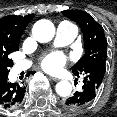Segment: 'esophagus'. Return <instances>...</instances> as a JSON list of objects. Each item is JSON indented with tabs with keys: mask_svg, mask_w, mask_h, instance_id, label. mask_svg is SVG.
<instances>
[{
	"mask_svg": "<svg viewBox=\"0 0 117 117\" xmlns=\"http://www.w3.org/2000/svg\"><path fill=\"white\" fill-rule=\"evenodd\" d=\"M50 79H51L52 81H55V82L59 81L58 78H56V77H52V76H50Z\"/></svg>",
	"mask_w": 117,
	"mask_h": 117,
	"instance_id": "obj_1",
	"label": "esophagus"
}]
</instances>
